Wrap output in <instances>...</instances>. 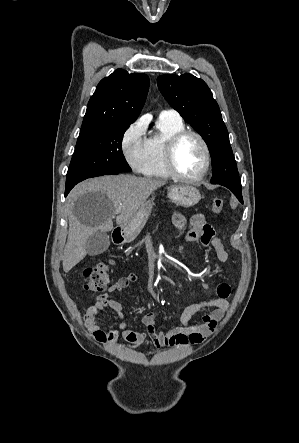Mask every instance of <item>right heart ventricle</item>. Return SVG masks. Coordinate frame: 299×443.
<instances>
[{
  "mask_svg": "<svg viewBox=\"0 0 299 443\" xmlns=\"http://www.w3.org/2000/svg\"><path fill=\"white\" fill-rule=\"evenodd\" d=\"M158 133L146 140V156L141 172L148 177L168 178L165 167L164 151L168 140L177 132L185 129L182 119L159 117Z\"/></svg>",
  "mask_w": 299,
  "mask_h": 443,
  "instance_id": "obj_1",
  "label": "right heart ventricle"
}]
</instances>
